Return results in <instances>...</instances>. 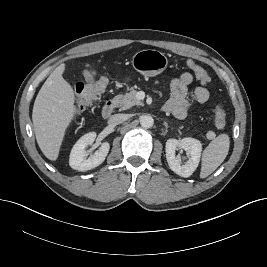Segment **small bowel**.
I'll list each match as a JSON object with an SVG mask.
<instances>
[{
	"label": "small bowel",
	"mask_w": 267,
	"mask_h": 267,
	"mask_svg": "<svg viewBox=\"0 0 267 267\" xmlns=\"http://www.w3.org/2000/svg\"><path fill=\"white\" fill-rule=\"evenodd\" d=\"M95 75V71L90 68L83 71V76L87 81L94 80ZM192 81L193 75L186 72L171 82L170 98L164 108L178 119L186 117L192 102L204 103L210 97L209 90L204 86H198L193 92L189 93L188 86Z\"/></svg>",
	"instance_id": "obj_1"
}]
</instances>
